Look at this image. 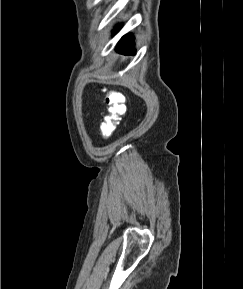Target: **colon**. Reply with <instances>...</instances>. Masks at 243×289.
Returning <instances> with one entry per match:
<instances>
[{
  "mask_svg": "<svg viewBox=\"0 0 243 289\" xmlns=\"http://www.w3.org/2000/svg\"><path fill=\"white\" fill-rule=\"evenodd\" d=\"M105 103L108 107V114L101 125V133L106 139L112 136L119 118L125 112V98L121 92L105 91Z\"/></svg>",
  "mask_w": 243,
  "mask_h": 289,
  "instance_id": "colon-1",
  "label": "colon"
}]
</instances>
